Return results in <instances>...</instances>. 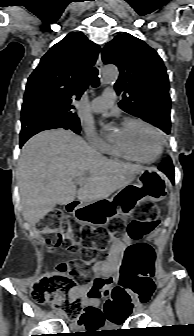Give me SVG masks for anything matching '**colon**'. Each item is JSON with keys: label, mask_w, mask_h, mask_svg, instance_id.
Here are the masks:
<instances>
[{"label": "colon", "mask_w": 194, "mask_h": 336, "mask_svg": "<svg viewBox=\"0 0 194 336\" xmlns=\"http://www.w3.org/2000/svg\"><path fill=\"white\" fill-rule=\"evenodd\" d=\"M157 208L147 204L145 217L133 220L127 227L129 236L134 240L142 239L151 234L159 225ZM121 222H113V227L119 229ZM39 230L46 244L51 249L67 245L72 250H80L82 259L60 263L58 271L44 275L31 290V298L39 304L55 302V305L71 320L80 318L83 310L81 297L76 293L78 278L89 274V263L97 259L106 249L107 239L99 236L94 242H87L77 236L72 229V223L60 211L49 213L40 223ZM152 252L141 245L130 246L124 257L122 273L119 282L107 279L99 289H92L90 296L100 298L103 294L110 295L107 301V318L117 322L131 310L136 297L144 302L147 292L141 289L136 294H130L127 289L137 284L139 272L152 273ZM102 289L104 293H102ZM63 296V298H58Z\"/></svg>", "instance_id": "5ec220e1"}]
</instances>
